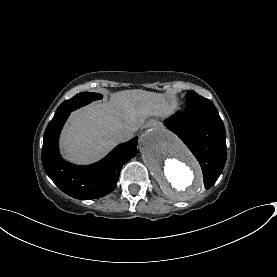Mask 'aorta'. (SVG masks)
Wrapping results in <instances>:
<instances>
[{"mask_svg":"<svg viewBox=\"0 0 277 277\" xmlns=\"http://www.w3.org/2000/svg\"><path fill=\"white\" fill-rule=\"evenodd\" d=\"M139 147L143 161L167 196L187 201L201 192V168L173 133L162 128L148 130L140 137Z\"/></svg>","mask_w":277,"mask_h":277,"instance_id":"obj_1","label":"aorta"}]
</instances>
